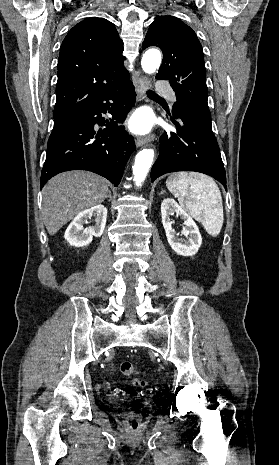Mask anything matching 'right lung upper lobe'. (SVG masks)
I'll list each match as a JSON object with an SVG mask.
<instances>
[{
	"label": "right lung upper lobe",
	"instance_id": "obj_1",
	"mask_svg": "<svg viewBox=\"0 0 279 465\" xmlns=\"http://www.w3.org/2000/svg\"><path fill=\"white\" fill-rule=\"evenodd\" d=\"M123 42L113 23L101 17L75 25L62 42L54 125L69 122L84 107L129 80Z\"/></svg>",
	"mask_w": 279,
	"mask_h": 465
}]
</instances>
